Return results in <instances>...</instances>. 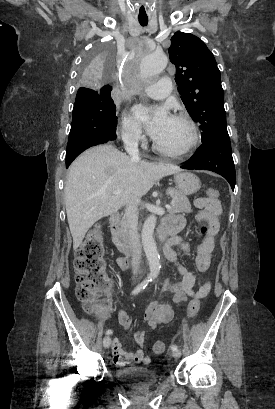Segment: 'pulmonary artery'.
Instances as JSON below:
<instances>
[{"label": "pulmonary artery", "mask_w": 275, "mask_h": 409, "mask_svg": "<svg viewBox=\"0 0 275 409\" xmlns=\"http://www.w3.org/2000/svg\"><path fill=\"white\" fill-rule=\"evenodd\" d=\"M170 77L165 75L163 80L160 82V85H151L148 89V95L154 99H161L165 96V94H173L174 93V86L168 85V81Z\"/></svg>", "instance_id": "obj_1"}]
</instances>
